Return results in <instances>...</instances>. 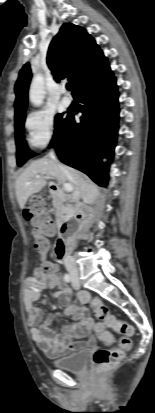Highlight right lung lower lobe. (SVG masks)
<instances>
[{"mask_svg": "<svg viewBox=\"0 0 155 413\" xmlns=\"http://www.w3.org/2000/svg\"><path fill=\"white\" fill-rule=\"evenodd\" d=\"M73 96L82 104L80 123L75 122L73 114H68L51 146L61 162L106 186L119 119L116 79L110 68L79 87ZM103 158L109 161L103 162Z\"/></svg>", "mask_w": 155, "mask_h": 413, "instance_id": "right-lung-lower-lobe-1", "label": "right lung lower lobe"}]
</instances>
